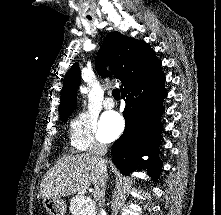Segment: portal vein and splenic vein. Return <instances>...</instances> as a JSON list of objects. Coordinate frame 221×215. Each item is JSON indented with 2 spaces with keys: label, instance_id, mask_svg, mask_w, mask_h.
Segmentation results:
<instances>
[{
  "label": "portal vein and splenic vein",
  "instance_id": "obj_1",
  "mask_svg": "<svg viewBox=\"0 0 221 215\" xmlns=\"http://www.w3.org/2000/svg\"><path fill=\"white\" fill-rule=\"evenodd\" d=\"M89 201H91V199H90L89 197H87L85 200H83V204H84V203H87V202H89Z\"/></svg>",
  "mask_w": 221,
  "mask_h": 215
}]
</instances>
